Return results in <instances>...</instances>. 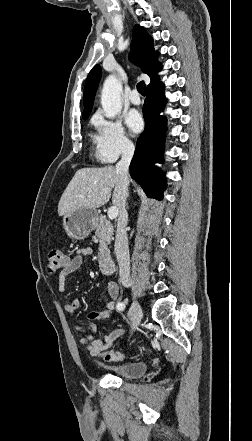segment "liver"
<instances>
[{
  "label": "liver",
  "mask_w": 252,
  "mask_h": 441,
  "mask_svg": "<svg viewBox=\"0 0 252 441\" xmlns=\"http://www.w3.org/2000/svg\"><path fill=\"white\" fill-rule=\"evenodd\" d=\"M118 210L121 204V176L113 166L82 168L76 171L58 203L60 216L77 209L99 208L111 198Z\"/></svg>",
  "instance_id": "obj_1"
}]
</instances>
